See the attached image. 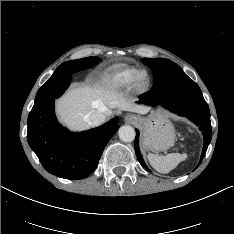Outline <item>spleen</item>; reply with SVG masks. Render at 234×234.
Returning a JSON list of instances; mask_svg holds the SVG:
<instances>
[{
  "label": "spleen",
  "instance_id": "1",
  "mask_svg": "<svg viewBox=\"0 0 234 234\" xmlns=\"http://www.w3.org/2000/svg\"><path fill=\"white\" fill-rule=\"evenodd\" d=\"M150 165L158 172L169 173L176 168L178 164L187 158V154L170 153L166 156H159L149 153L147 155Z\"/></svg>",
  "mask_w": 234,
  "mask_h": 234
}]
</instances>
